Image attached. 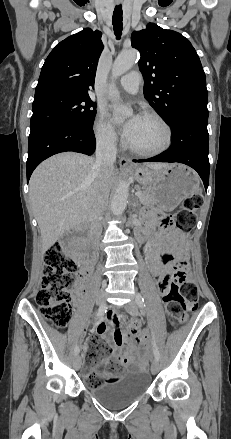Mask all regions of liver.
<instances>
[{"mask_svg":"<svg viewBox=\"0 0 231 439\" xmlns=\"http://www.w3.org/2000/svg\"><path fill=\"white\" fill-rule=\"evenodd\" d=\"M94 163L93 157L64 152L45 160L33 172L29 182L30 200L40 228L43 254L66 232L90 217L99 180ZM167 165L145 164L152 170ZM117 173L114 167L109 173L110 188Z\"/></svg>","mask_w":231,"mask_h":439,"instance_id":"6515ba94","label":"liver"}]
</instances>
